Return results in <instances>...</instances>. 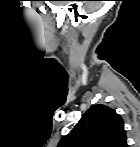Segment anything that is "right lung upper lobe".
I'll return each instance as SVG.
<instances>
[{"label": "right lung upper lobe", "instance_id": "obj_1", "mask_svg": "<svg viewBox=\"0 0 140 147\" xmlns=\"http://www.w3.org/2000/svg\"><path fill=\"white\" fill-rule=\"evenodd\" d=\"M126 134L121 116L106 105L88 109L58 147H126Z\"/></svg>", "mask_w": 140, "mask_h": 147}]
</instances>
